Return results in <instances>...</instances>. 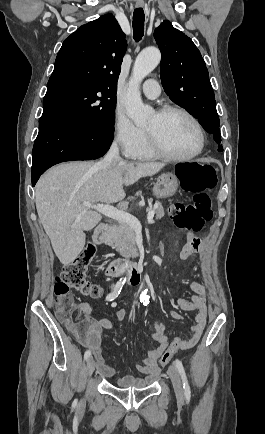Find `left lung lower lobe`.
Segmentation results:
<instances>
[{"label": "left lung lower lobe", "instance_id": "obj_1", "mask_svg": "<svg viewBox=\"0 0 265 434\" xmlns=\"http://www.w3.org/2000/svg\"><path fill=\"white\" fill-rule=\"evenodd\" d=\"M218 151H223V148H219Z\"/></svg>", "mask_w": 265, "mask_h": 434}]
</instances>
